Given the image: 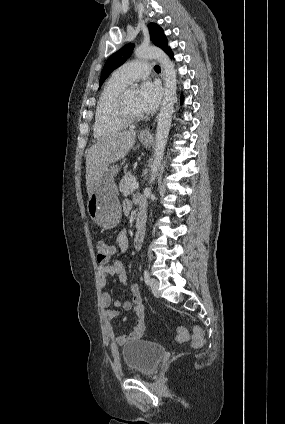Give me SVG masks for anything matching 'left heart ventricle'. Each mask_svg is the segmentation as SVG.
<instances>
[{
  "mask_svg": "<svg viewBox=\"0 0 285 424\" xmlns=\"http://www.w3.org/2000/svg\"><path fill=\"white\" fill-rule=\"evenodd\" d=\"M125 101L130 114L134 116L142 115L137 108V94L136 93H126Z\"/></svg>",
  "mask_w": 285,
  "mask_h": 424,
  "instance_id": "b2bd125f",
  "label": "left heart ventricle"
}]
</instances>
